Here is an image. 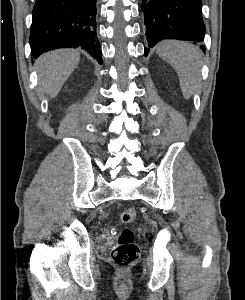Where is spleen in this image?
<instances>
[{
  "instance_id": "1",
  "label": "spleen",
  "mask_w": 245,
  "mask_h": 300,
  "mask_svg": "<svg viewBox=\"0 0 245 300\" xmlns=\"http://www.w3.org/2000/svg\"><path fill=\"white\" fill-rule=\"evenodd\" d=\"M158 55L176 70L185 99H189L199 82L201 67L200 50L186 42L163 41L157 47Z\"/></svg>"
}]
</instances>
